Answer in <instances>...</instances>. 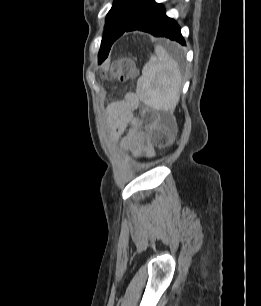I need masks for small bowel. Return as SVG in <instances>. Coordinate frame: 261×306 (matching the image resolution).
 Masks as SVG:
<instances>
[{"label":"small bowel","mask_w":261,"mask_h":306,"mask_svg":"<svg viewBox=\"0 0 261 306\" xmlns=\"http://www.w3.org/2000/svg\"><path fill=\"white\" fill-rule=\"evenodd\" d=\"M138 104L135 94H127L123 101L113 104L109 109L110 115L116 120L115 138L127 131L120 138V152L124 154L129 151L135 159L152 157L155 153L149 135L142 130L141 122L134 115Z\"/></svg>","instance_id":"obj_1"}]
</instances>
